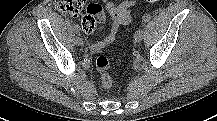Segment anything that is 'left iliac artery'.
<instances>
[{
    "label": "left iliac artery",
    "instance_id": "44dca946",
    "mask_svg": "<svg viewBox=\"0 0 217 121\" xmlns=\"http://www.w3.org/2000/svg\"><path fill=\"white\" fill-rule=\"evenodd\" d=\"M150 19H151V17H150L149 14H145V15L143 16V22H144V23L149 22Z\"/></svg>",
    "mask_w": 217,
    "mask_h": 121
}]
</instances>
